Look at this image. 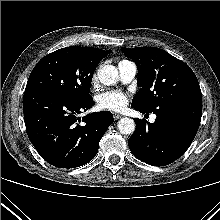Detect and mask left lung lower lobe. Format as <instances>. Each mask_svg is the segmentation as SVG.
Listing matches in <instances>:
<instances>
[{
	"instance_id": "left-lung-lower-lobe-1",
	"label": "left lung lower lobe",
	"mask_w": 220,
	"mask_h": 220,
	"mask_svg": "<svg viewBox=\"0 0 220 220\" xmlns=\"http://www.w3.org/2000/svg\"><path fill=\"white\" fill-rule=\"evenodd\" d=\"M152 112L157 116L154 123L134 119L136 130L129 138V148L136 158L147 164L168 165L180 158L195 138L201 121L202 96H183Z\"/></svg>"
}]
</instances>
